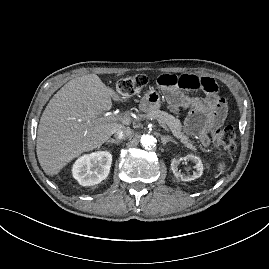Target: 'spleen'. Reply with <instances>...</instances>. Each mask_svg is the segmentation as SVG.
<instances>
[{"instance_id":"obj_1","label":"spleen","mask_w":269,"mask_h":269,"mask_svg":"<svg viewBox=\"0 0 269 269\" xmlns=\"http://www.w3.org/2000/svg\"><path fill=\"white\" fill-rule=\"evenodd\" d=\"M217 168H218L219 174H223L226 169L225 162H220Z\"/></svg>"}]
</instances>
